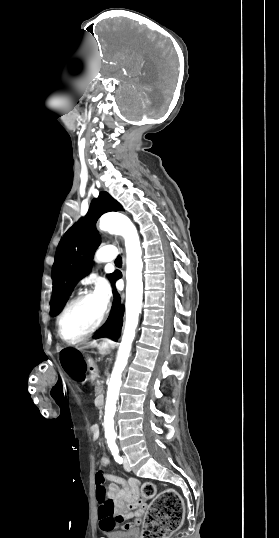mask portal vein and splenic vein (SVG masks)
Segmentation results:
<instances>
[{
    "instance_id": "portal-vein-and-splenic-vein-1",
    "label": "portal vein and splenic vein",
    "mask_w": 279,
    "mask_h": 538,
    "mask_svg": "<svg viewBox=\"0 0 279 538\" xmlns=\"http://www.w3.org/2000/svg\"><path fill=\"white\" fill-rule=\"evenodd\" d=\"M100 383H103V380H100Z\"/></svg>"
}]
</instances>
